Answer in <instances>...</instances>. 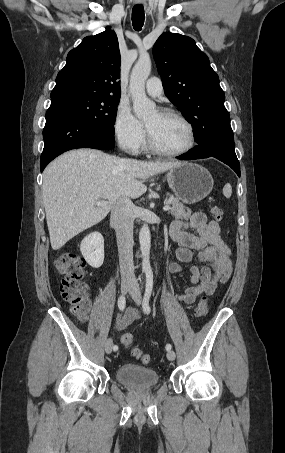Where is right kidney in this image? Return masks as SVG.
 Here are the masks:
<instances>
[{"instance_id":"ca27d5eb","label":"right kidney","mask_w":285,"mask_h":453,"mask_svg":"<svg viewBox=\"0 0 285 453\" xmlns=\"http://www.w3.org/2000/svg\"><path fill=\"white\" fill-rule=\"evenodd\" d=\"M80 251L93 268H99L104 261V238L99 232H92L86 236L81 244Z\"/></svg>"}]
</instances>
